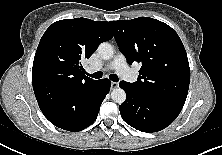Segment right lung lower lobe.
I'll return each instance as SVG.
<instances>
[{
    "label": "right lung lower lobe",
    "mask_w": 222,
    "mask_h": 155,
    "mask_svg": "<svg viewBox=\"0 0 222 155\" xmlns=\"http://www.w3.org/2000/svg\"><path fill=\"white\" fill-rule=\"evenodd\" d=\"M110 86L108 79H100L65 93H58L52 87L34 93L41 111L52 124L78 132L96 120Z\"/></svg>",
    "instance_id": "98d812e1"
}]
</instances>
